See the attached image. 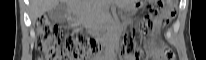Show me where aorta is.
<instances>
[{"mask_svg":"<svg viewBox=\"0 0 206 60\" xmlns=\"http://www.w3.org/2000/svg\"><path fill=\"white\" fill-rule=\"evenodd\" d=\"M106 36H107V40H108V41H111V40H112V30H111V26H108V27H107ZM109 47H111L110 44H109Z\"/></svg>","mask_w":206,"mask_h":60,"instance_id":"aorta-1","label":"aorta"}]
</instances>
